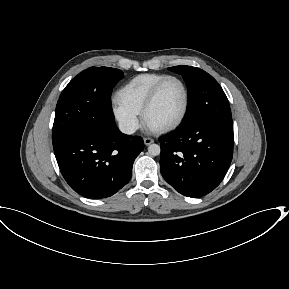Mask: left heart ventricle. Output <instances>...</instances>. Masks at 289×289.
<instances>
[{"label":"left heart ventricle","instance_id":"1","mask_svg":"<svg viewBox=\"0 0 289 289\" xmlns=\"http://www.w3.org/2000/svg\"><path fill=\"white\" fill-rule=\"evenodd\" d=\"M184 91L174 80L168 81L160 90L150 108L146 123L156 129L174 122L182 112Z\"/></svg>","mask_w":289,"mask_h":289}]
</instances>
